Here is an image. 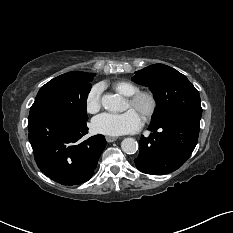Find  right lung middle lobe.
Returning a JSON list of instances; mask_svg holds the SVG:
<instances>
[{"instance_id": "1", "label": "right lung middle lobe", "mask_w": 233, "mask_h": 233, "mask_svg": "<svg viewBox=\"0 0 233 233\" xmlns=\"http://www.w3.org/2000/svg\"><path fill=\"white\" fill-rule=\"evenodd\" d=\"M94 76L74 71L52 79L39 90L28 119L42 113H61L87 121L86 102Z\"/></svg>"}]
</instances>
